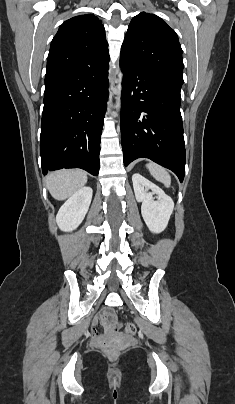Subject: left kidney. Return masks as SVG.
Masks as SVG:
<instances>
[{
    "instance_id": "left-kidney-1",
    "label": "left kidney",
    "mask_w": 235,
    "mask_h": 404,
    "mask_svg": "<svg viewBox=\"0 0 235 404\" xmlns=\"http://www.w3.org/2000/svg\"><path fill=\"white\" fill-rule=\"evenodd\" d=\"M132 182L136 200L142 202L141 213L147 227L152 233H161L166 229L174 209L172 199L139 173L133 174ZM153 194L157 195V200H154Z\"/></svg>"
}]
</instances>
